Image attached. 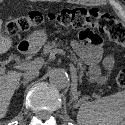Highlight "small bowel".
<instances>
[{"instance_id": "1", "label": "small bowel", "mask_w": 125, "mask_h": 125, "mask_svg": "<svg viewBox=\"0 0 125 125\" xmlns=\"http://www.w3.org/2000/svg\"><path fill=\"white\" fill-rule=\"evenodd\" d=\"M72 47L75 52L83 58H95L98 59L102 54V39L100 37H95L91 40L75 41L72 43ZM105 66L108 70H111L114 65V59L112 57H107L105 59Z\"/></svg>"}]
</instances>
